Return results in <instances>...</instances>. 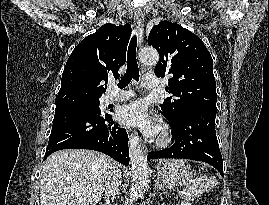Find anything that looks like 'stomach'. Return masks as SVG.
Returning <instances> with one entry per match:
<instances>
[{
    "mask_svg": "<svg viewBox=\"0 0 269 205\" xmlns=\"http://www.w3.org/2000/svg\"><path fill=\"white\" fill-rule=\"evenodd\" d=\"M155 170L157 177L163 183L184 186L191 197L199 195V192L192 186L191 166L185 160H163L156 165Z\"/></svg>",
    "mask_w": 269,
    "mask_h": 205,
    "instance_id": "0dacf381",
    "label": "stomach"
}]
</instances>
